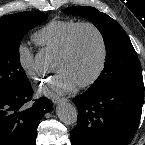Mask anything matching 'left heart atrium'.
I'll return each instance as SVG.
<instances>
[{"label": "left heart atrium", "mask_w": 145, "mask_h": 145, "mask_svg": "<svg viewBox=\"0 0 145 145\" xmlns=\"http://www.w3.org/2000/svg\"><path fill=\"white\" fill-rule=\"evenodd\" d=\"M77 85L75 79L67 71H59L49 77L39 92L45 95L58 96L72 91Z\"/></svg>", "instance_id": "1"}]
</instances>
